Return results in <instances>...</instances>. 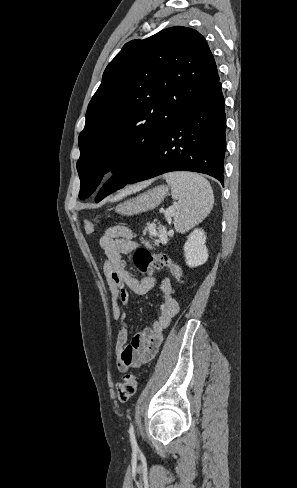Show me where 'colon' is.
I'll use <instances>...</instances> for the list:
<instances>
[{
  "mask_svg": "<svg viewBox=\"0 0 297 488\" xmlns=\"http://www.w3.org/2000/svg\"><path fill=\"white\" fill-rule=\"evenodd\" d=\"M98 221H87L85 229L88 233L94 231V225ZM134 262L137 269L143 273H153L161 269H169L174 277L181 281L182 272L180 267L170 258L162 255H153L146 249H138L134 254ZM137 379L134 374L127 373L116 384L117 397L120 402L129 401L136 393Z\"/></svg>",
  "mask_w": 297,
  "mask_h": 488,
  "instance_id": "obj_1",
  "label": "colon"
}]
</instances>
